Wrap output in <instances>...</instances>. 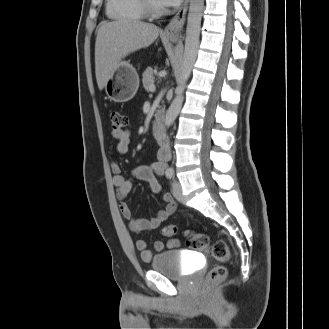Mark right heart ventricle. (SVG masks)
<instances>
[{
	"instance_id": "1",
	"label": "right heart ventricle",
	"mask_w": 329,
	"mask_h": 329,
	"mask_svg": "<svg viewBox=\"0 0 329 329\" xmlns=\"http://www.w3.org/2000/svg\"><path fill=\"white\" fill-rule=\"evenodd\" d=\"M107 14L114 19L142 21L145 12L140 0H107Z\"/></svg>"
}]
</instances>
